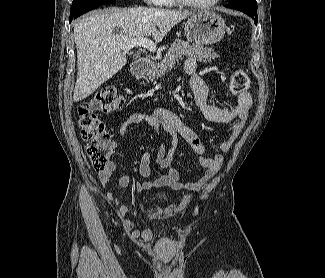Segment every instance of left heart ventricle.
Segmentation results:
<instances>
[{
	"label": "left heart ventricle",
	"mask_w": 325,
	"mask_h": 278,
	"mask_svg": "<svg viewBox=\"0 0 325 278\" xmlns=\"http://www.w3.org/2000/svg\"><path fill=\"white\" fill-rule=\"evenodd\" d=\"M192 1L197 2V3H206L210 0H192Z\"/></svg>",
	"instance_id": "b2bd125f"
}]
</instances>
